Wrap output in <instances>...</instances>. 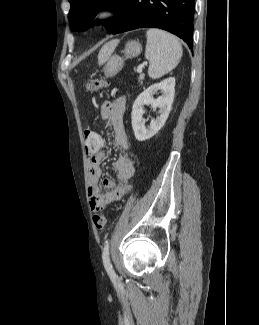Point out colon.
<instances>
[{"mask_svg": "<svg viewBox=\"0 0 259 325\" xmlns=\"http://www.w3.org/2000/svg\"><path fill=\"white\" fill-rule=\"evenodd\" d=\"M108 85L104 79L91 80L87 88L91 92L98 91L105 88ZM84 140L86 149H100L103 144L101 135H98L97 130L86 129L84 131ZM93 224L97 230H103L106 226V217L103 213H96L93 215Z\"/></svg>", "mask_w": 259, "mask_h": 325, "instance_id": "1", "label": "colon"}]
</instances>
